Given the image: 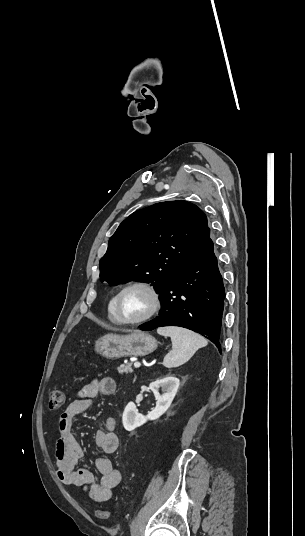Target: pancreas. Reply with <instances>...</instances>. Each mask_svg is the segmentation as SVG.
<instances>
[{
    "label": "pancreas",
    "mask_w": 305,
    "mask_h": 536,
    "mask_svg": "<svg viewBox=\"0 0 305 536\" xmlns=\"http://www.w3.org/2000/svg\"><path fill=\"white\" fill-rule=\"evenodd\" d=\"M119 374H132L134 370H132V362H128V364H121L118 368Z\"/></svg>",
    "instance_id": "obj_1"
}]
</instances>
